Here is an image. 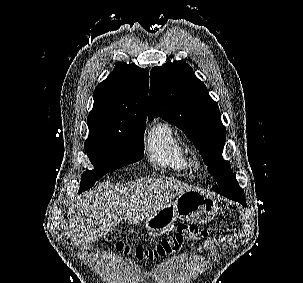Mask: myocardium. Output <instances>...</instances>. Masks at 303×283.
Returning <instances> with one entry per match:
<instances>
[{"instance_id":"f54148a6","label":"myocardium","mask_w":303,"mask_h":283,"mask_svg":"<svg viewBox=\"0 0 303 283\" xmlns=\"http://www.w3.org/2000/svg\"><path fill=\"white\" fill-rule=\"evenodd\" d=\"M190 164L194 167H198L199 166V160L197 158V156H193L190 160Z\"/></svg>"}]
</instances>
